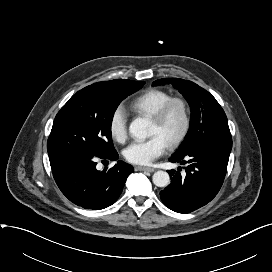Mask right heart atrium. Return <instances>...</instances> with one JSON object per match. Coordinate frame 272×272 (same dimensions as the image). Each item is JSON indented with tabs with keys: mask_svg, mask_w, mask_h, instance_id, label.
<instances>
[{
	"mask_svg": "<svg viewBox=\"0 0 272 272\" xmlns=\"http://www.w3.org/2000/svg\"><path fill=\"white\" fill-rule=\"evenodd\" d=\"M108 129L111 137L119 142H125L127 138V118L125 111L121 107H117L112 112L109 123Z\"/></svg>",
	"mask_w": 272,
	"mask_h": 272,
	"instance_id": "obj_1",
	"label": "right heart atrium"
}]
</instances>
